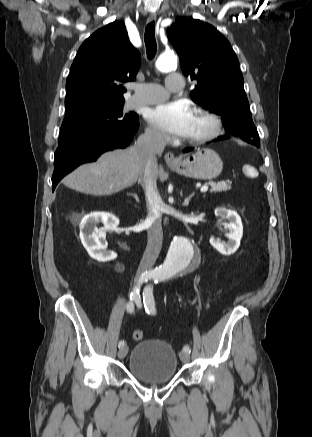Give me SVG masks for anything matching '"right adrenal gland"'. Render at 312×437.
Wrapping results in <instances>:
<instances>
[{
  "instance_id": "obj_1",
  "label": "right adrenal gland",
  "mask_w": 312,
  "mask_h": 437,
  "mask_svg": "<svg viewBox=\"0 0 312 437\" xmlns=\"http://www.w3.org/2000/svg\"><path fill=\"white\" fill-rule=\"evenodd\" d=\"M138 183H140L139 180H138ZM128 195L133 196V197L135 198V200H136L137 202H139V197H138V195H137L136 193H128Z\"/></svg>"
}]
</instances>
